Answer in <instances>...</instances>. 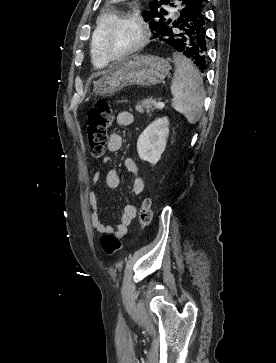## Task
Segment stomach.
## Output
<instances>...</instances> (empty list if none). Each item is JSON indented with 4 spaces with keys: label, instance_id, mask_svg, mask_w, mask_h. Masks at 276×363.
I'll use <instances>...</instances> for the list:
<instances>
[{
    "label": "stomach",
    "instance_id": "1",
    "mask_svg": "<svg viewBox=\"0 0 276 363\" xmlns=\"http://www.w3.org/2000/svg\"><path fill=\"white\" fill-rule=\"evenodd\" d=\"M171 66L157 56H134L111 69L94 83L95 95L112 96L130 85L154 86L164 81Z\"/></svg>",
    "mask_w": 276,
    "mask_h": 363
}]
</instances>
